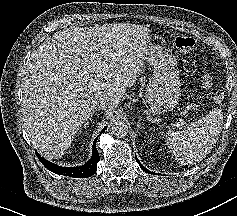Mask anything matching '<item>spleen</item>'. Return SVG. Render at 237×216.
I'll use <instances>...</instances> for the list:
<instances>
[{"instance_id": "obj_1", "label": "spleen", "mask_w": 237, "mask_h": 216, "mask_svg": "<svg viewBox=\"0 0 237 216\" xmlns=\"http://www.w3.org/2000/svg\"><path fill=\"white\" fill-rule=\"evenodd\" d=\"M217 125L211 126L207 117L190 123L182 131H170L164 145L177 159L186 161L202 159L218 138Z\"/></svg>"}]
</instances>
